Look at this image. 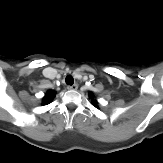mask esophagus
Here are the masks:
<instances>
[{
	"mask_svg": "<svg viewBox=\"0 0 163 163\" xmlns=\"http://www.w3.org/2000/svg\"><path fill=\"white\" fill-rule=\"evenodd\" d=\"M77 88H78L77 84H73V85H70V86L67 87L68 90H73V91L77 90Z\"/></svg>",
	"mask_w": 163,
	"mask_h": 163,
	"instance_id": "34e87169",
	"label": "esophagus"
}]
</instances>
